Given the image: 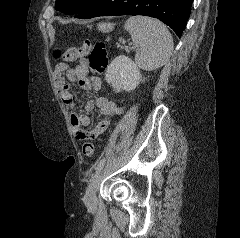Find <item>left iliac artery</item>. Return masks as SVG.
Masks as SVG:
<instances>
[{
  "instance_id": "44dca946",
  "label": "left iliac artery",
  "mask_w": 240,
  "mask_h": 238,
  "mask_svg": "<svg viewBox=\"0 0 240 238\" xmlns=\"http://www.w3.org/2000/svg\"><path fill=\"white\" fill-rule=\"evenodd\" d=\"M105 162H106V159L103 158V159H101V160L97 163V165H96V167H95V173H94L93 177H96V176L98 175V173H99V172L102 170V168L104 167Z\"/></svg>"
}]
</instances>
